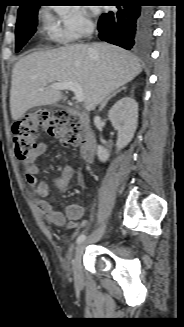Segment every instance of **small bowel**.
<instances>
[{
	"mask_svg": "<svg viewBox=\"0 0 184 327\" xmlns=\"http://www.w3.org/2000/svg\"><path fill=\"white\" fill-rule=\"evenodd\" d=\"M47 146L45 143H37L34 152L23 162L25 171L26 182L38 193L36 205L38 211L45 219L52 225L62 227L66 224L68 219V228L70 230H77L86 226V222L81 220L83 216V209L79 205L67 206L65 212L58 211L54 208L46 197L48 196L49 189L46 182L41 181L38 176V167L36 166V159L45 152ZM73 176V170L70 166L63 167L60 175L53 176V182L55 186L61 190L67 188L70 179ZM85 177L82 173L78 174L77 182L83 184Z\"/></svg>",
	"mask_w": 184,
	"mask_h": 327,
	"instance_id": "obj_1",
	"label": "small bowel"
}]
</instances>
